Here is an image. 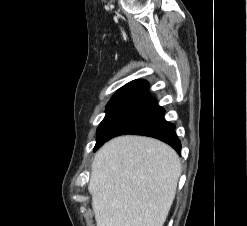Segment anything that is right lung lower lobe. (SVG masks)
Listing matches in <instances>:
<instances>
[{"label": "right lung lower lobe", "instance_id": "98d812e1", "mask_svg": "<svg viewBox=\"0 0 247 226\" xmlns=\"http://www.w3.org/2000/svg\"><path fill=\"white\" fill-rule=\"evenodd\" d=\"M148 87V82L134 80L115 93L97 129L94 151L115 136L137 134L162 140L180 153L175 125L164 119L165 110L149 95Z\"/></svg>", "mask_w": 247, "mask_h": 226}]
</instances>
